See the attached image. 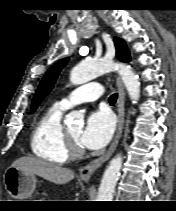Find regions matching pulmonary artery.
<instances>
[{
  "instance_id": "1",
  "label": "pulmonary artery",
  "mask_w": 176,
  "mask_h": 211,
  "mask_svg": "<svg viewBox=\"0 0 176 211\" xmlns=\"http://www.w3.org/2000/svg\"><path fill=\"white\" fill-rule=\"evenodd\" d=\"M102 93L101 85L97 82H91L78 87L58 103L64 109H69L80 103L96 101L102 96Z\"/></svg>"
}]
</instances>
